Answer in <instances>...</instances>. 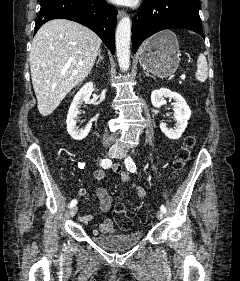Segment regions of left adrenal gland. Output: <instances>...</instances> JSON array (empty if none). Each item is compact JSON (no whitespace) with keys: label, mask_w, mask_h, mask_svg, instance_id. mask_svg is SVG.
<instances>
[{"label":"left adrenal gland","mask_w":240,"mask_h":281,"mask_svg":"<svg viewBox=\"0 0 240 281\" xmlns=\"http://www.w3.org/2000/svg\"><path fill=\"white\" fill-rule=\"evenodd\" d=\"M146 76L152 77L153 79H155L152 75H150L149 73H147L146 71H144Z\"/></svg>","instance_id":"1"}]
</instances>
